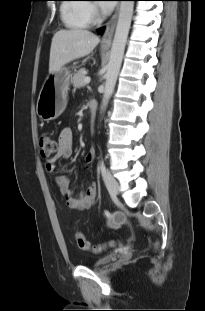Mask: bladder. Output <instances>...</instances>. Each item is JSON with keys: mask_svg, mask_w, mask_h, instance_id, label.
Masks as SVG:
<instances>
[{"mask_svg": "<svg viewBox=\"0 0 205 311\" xmlns=\"http://www.w3.org/2000/svg\"><path fill=\"white\" fill-rule=\"evenodd\" d=\"M114 259V254H109L106 255L102 258L97 259L94 263H93V267L94 268H100L104 265L109 264L112 260Z\"/></svg>", "mask_w": 205, "mask_h": 311, "instance_id": "31cf9c89", "label": "bladder"}]
</instances>
